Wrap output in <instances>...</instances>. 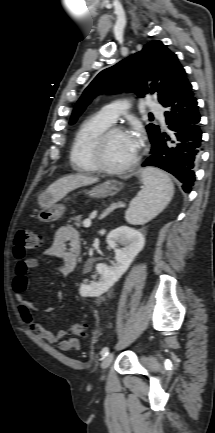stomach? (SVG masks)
Returning a JSON list of instances; mask_svg holds the SVG:
<instances>
[{"mask_svg":"<svg viewBox=\"0 0 215 433\" xmlns=\"http://www.w3.org/2000/svg\"><path fill=\"white\" fill-rule=\"evenodd\" d=\"M121 189L122 184L120 182L106 181L90 190H86L85 194L92 198H106L117 194ZM56 202L48 190L40 194L39 204L43 208L38 216L40 221L49 223L63 216L66 208Z\"/></svg>","mask_w":215,"mask_h":433,"instance_id":"obj_1","label":"stomach"}]
</instances>
